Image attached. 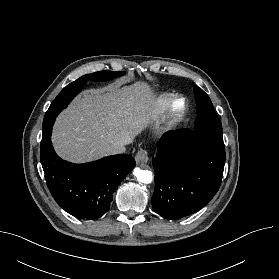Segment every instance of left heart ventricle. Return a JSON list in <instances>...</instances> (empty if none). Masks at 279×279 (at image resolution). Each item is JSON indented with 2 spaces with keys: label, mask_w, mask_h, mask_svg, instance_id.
Instances as JSON below:
<instances>
[{
  "label": "left heart ventricle",
  "mask_w": 279,
  "mask_h": 279,
  "mask_svg": "<svg viewBox=\"0 0 279 279\" xmlns=\"http://www.w3.org/2000/svg\"><path fill=\"white\" fill-rule=\"evenodd\" d=\"M180 106H181V103H178V104L176 105V108H180Z\"/></svg>",
  "instance_id": "left-heart-ventricle-1"
}]
</instances>
